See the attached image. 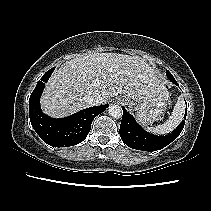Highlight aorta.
<instances>
[{
	"label": "aorta",
	"instance_id": "obj_1",
	"mask_svg": "<svg viewBox=\"0 0 211 211\" xmlns=\"http://www.w3.org/2000/svg\"><path fill=\"white\" fill-rule=\"evenodd\" d=\"M108 113L113 118H120L122 116V108L119 105H110Z\"/></svg>",
	"mask_w": 211,
	"mask_h": 211
}]
</instances>
